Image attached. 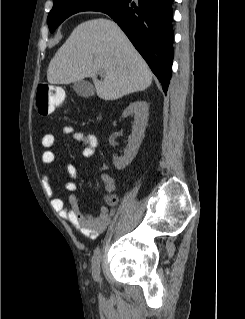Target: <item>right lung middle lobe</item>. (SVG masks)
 Here are the masks:
<instances>
[{
	"label": "right lung middle lobe",
	"instance_id": "1",
	"mask_svg": "<svg viewBox=\"0 0 245 319\" xmlns=\"http://www.w3.org/2000/svg\"><path fill=\"white\" fill-rule=\"evenodd\" d=\"M122 2L123 0H54V5L47 21L50 32H54L59 24L77 12L112 11Z\"/></svg>",
	"mask_w": 245,
	"mask_h": 319
}]
</instances>
